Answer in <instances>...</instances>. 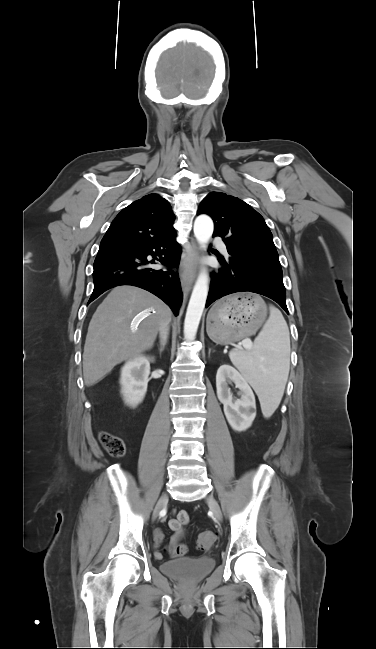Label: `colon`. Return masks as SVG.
Returning <instances> with one entry per match:
<instances>
[{"mask_svg":"<svg viewBox=\"0 0 376 649\" xmlns=\"http://www.w3.org/2000/svg\"><path fill=\"white\" fill-rule=\"evenodd\" d=\"M99 440L110 456L121 458L125 455L126 445L122 438L102 432L99 435ZM214 541L215 535L212 532L205 531L198 535L197 545L201 550H207L213 545Z\"/></svg>","mask_w":376,"mask_h":649,"instance_id":"5ec220e1","label":"colon"}]
</instances>
